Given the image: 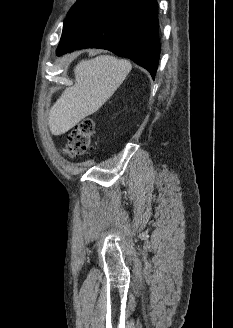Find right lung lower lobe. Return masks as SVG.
<instances>
[{
  "instance_id": "right-lung-lower-lobe-1",
  "label": "right lung lower lobe",
  "mask_w": 233,
  "mask_h": 328,
  "mask_svg": "<svg viewBox=\"0 0 233 328\" xmlns=\"http://www.w3.org/2000/svg\"><path fill=\"white\" fill-rule=\"evenodd\" d=\"M156 0H92L64 21L57 54L101 48L127 57L154 79L159 57Z\"/></svg>"
}]
</instances>
